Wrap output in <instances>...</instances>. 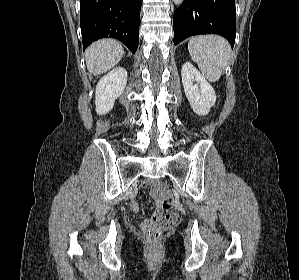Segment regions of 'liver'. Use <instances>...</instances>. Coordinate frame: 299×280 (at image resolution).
<instances>
[{"instance_id":"liver-1","label":"liver","mask_w":299,"mask_h":280,"mask_svg":"<svg viewBox=\"0 0 299 280\" xmlns=\"http://www.w3.org/2000/svg\"><path fill=\"white\" fill-rule=\"evenodd\" d=\"M124 55L121 44L113 39H102L90 45L85 52L88 71L100 75L118 64Z\"/></svg>"}]
</instances>
